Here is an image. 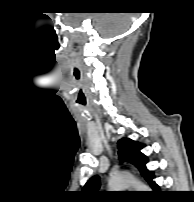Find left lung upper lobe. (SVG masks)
Instances as JSON below:
<instances>
[{
    "instance_id": "left-lung-upper-lobe-1",
    "label": "left lung upper lobe",
    "mask_w": 194,
    "mask_h": 202,
    "mask_svg": "<svg viewBox=\"0 0 194 202\" xmlns=\"http://www.w3.org/2000/svg\"><path fill=\"white\" fill-rule=\"evenodd\" d=\"M118 147L120 159L135 165L141 175L150 183L154 176L153 173L146 168L148 159L141 152L143 145L131 139L123 138L118 142ZM99 186V176H94L85 184L83 191L94 194L98 192Z\"/></svg>"
}]
</instances>
